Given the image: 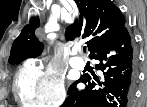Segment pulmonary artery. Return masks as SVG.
Returning <instances> with one entry per match:
<instances>
[{
  "label": "pulmonary artery",
  "mask_w": 147,
  "mask_h": 107,
  "mask_svg": "<svg viewBox=\"0 0 147 107\" xmlns=\"http://www.w3.org/2000/svg\"><path fill=\"white\" fill-rule=\"evenodd\" d=\"M70 65L77 69H82L85 66L84 60L79 56H74L70 59Z\"/></svg>",
  "instance_id": "1"
}]
</instances>
